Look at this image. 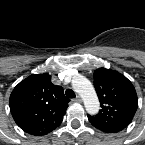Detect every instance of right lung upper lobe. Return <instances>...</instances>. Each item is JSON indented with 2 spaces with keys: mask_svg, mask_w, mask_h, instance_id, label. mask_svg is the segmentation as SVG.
<instances>
[{
  "mask_svg": "<svg viewBox=\"0 0 145 145\" xmlns=\"http://www.w3.org/2000/svg\"><path fill=\"white\" fill-rule=\"evenodd\" d=\"M61 86L51 82L48 73L32 74L21 81L10 95V111L26 133L41 136L58 127L68 107Z\"/></svg>",
  "mask_w": 145,
  "mask_h": 145,
  "instance_id": "cb5924a9",
  "label": "right lung upper lobe"
}]
</instances>
